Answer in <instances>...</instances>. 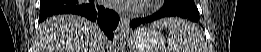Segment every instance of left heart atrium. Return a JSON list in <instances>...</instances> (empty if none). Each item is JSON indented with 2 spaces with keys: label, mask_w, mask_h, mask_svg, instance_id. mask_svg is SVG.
<instances>
[{
  "label": "left heart atrium",
  "mask_w": 261,
  "mask_h": 52,
  "mask_svg": "<svg viewBox=\"0 0 261 52\" xmlns=\"http://www.w3.org/2000/svg\"><path fill=\"white\" fill-rule=\"evenodd\" d=\"M147 0H114L112 6L117 9L135 10L143 5Z\"/></svg>",
  "instance_id": "obj_1"
}]
</instances>
